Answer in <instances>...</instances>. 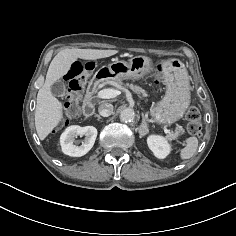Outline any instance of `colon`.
I'll use <instances>...</instances> for the list:
<instances>
[{
  "mask_svg": "<svg viewBox=\"0 0 236 236\" xmlns=\"http://www.w3.org/2000/svg\"><path fill=\"white\" fill-rule=\"evenodd\" d=\"M89 71L87 64L80 61H74L71 63L68 69L67 78V111L71 114L76 113L79 110L81 92L84 88L86 79V73ZM162 67H158V82L161 80ZM187 119V131L191 136L198 137L202 132L201 114L200 111L191 106L186 113Z\"/></svg>",
  "mask_w": 236,
  "mask_h": 236,
  "instance_id": "obj_1",
  "label": "colon"
}]
</instances>
